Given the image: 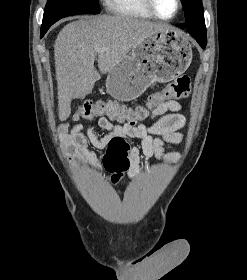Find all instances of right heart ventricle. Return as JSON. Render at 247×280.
Returning a JSON list of instances; mask_svg holds the SVG:
<instances>
[{"label": "right heart ventricle", "mask_w": 247, "mask_h": 280, "mask_svg": "<svg viewBox=\"0 0 247 280\" xmlns=\"http://www.w3.org/2000/svg\"><path fill=\"white\" fill-rule=\"evenodd\" d=\"M108 9L115 15L140 19H153L144 0H106Z\"/></svg>", "instance_id": "obj_1"}]
</instances>
